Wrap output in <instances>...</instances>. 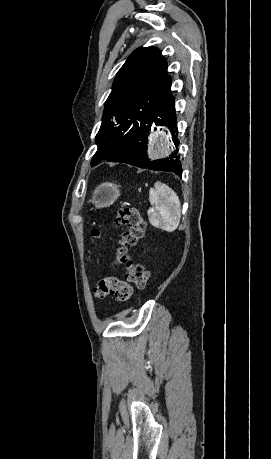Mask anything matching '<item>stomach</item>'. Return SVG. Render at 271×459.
I'll return each mask as SVG.
<instances>
[{
	"label": "stomach",
	"mask_w": 271,
	"mask_h": 459,
	"mask_svg": "<svg viewBox=\"0 0 271 459\" xmlns=\"http://www.w3.org/2000/svg\"><path fill=\"white\" fill-rule=\"evenodd\" d=\"M119 196V186L111 184V182H104L95 188L90 202L95 208H109L118 200Z\"/></svg>",
	"instance_id": "0dacf381"
}]
</instances>
